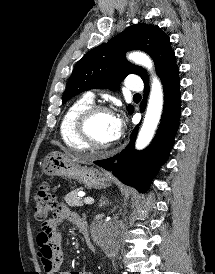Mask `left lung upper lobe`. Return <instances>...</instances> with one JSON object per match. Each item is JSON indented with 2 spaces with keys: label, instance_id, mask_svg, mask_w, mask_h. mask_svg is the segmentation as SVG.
I'll list each match as a JSON object with an SVG mask.
<instances>
[{
  "label": "left lung upper lobe",
  "instance_id": "obj_1",
  "mask_svg": "<svg viewBox=\"0 0 215 274\" xmlns=\"http://www.w3.org/2000/svg\"><path fill=\"white\" fill-rule=\"evenodd\" d=\"M139 49L149 54L161 78L176 65L169 37L157 26L139 23L86 53L75 65L68 80L62 104L73 96L94 88L118 90L119 83L129 74L140 75L148 83L146 71L125 59V52ZM129 105L128 111H133Z\"/></svg>",
  "mask_w": 215,
  "mask_h": 274
}]
</instances>
